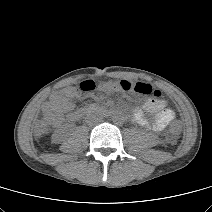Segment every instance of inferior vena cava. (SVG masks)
<instances>
[{
    "instance_id": "1",
    "label": "inferior vena cava",
    "mask_w": 212,
    "mask_h": 212,
    "mask_svg": "<svg viewBox=\"0 0 212 212\" xmlns=\"http://www.w3.org/2000/svg\"><path fill=\"white\" fill-rule=\"evenodd\" d=\"M100 118L96 115L90 116L87 119L88 124L93 125V124H99L100 123Z\"/></svg>"
}]
</instances>
